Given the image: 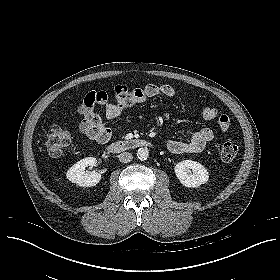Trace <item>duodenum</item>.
Masks as SVG:
<instances>
[{
    "label": "duodenum",
    "mask_w": 280,
    "mask_h": 280,
    "mask_svg": "<svg viewBox=\"0 0 280 280\" xmlns=\"http://www.w3.org/2000/svg\"><path fill=\"white\" fill-rule=\"evenodd\" d=\"M151 143L145 139H127L112 143L107 146L106 151L112 154H118L125 151L150 147Z\"/></svg>",
    "instance_id": "duodenum-1"
}]
</instances>
